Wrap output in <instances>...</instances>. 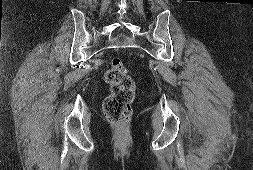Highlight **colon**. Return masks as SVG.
<instances>
[{
    "label": "colon",
    "mask_w": 253,
    "mask_h": 170,
    "mask_svg": "<svg viewBox=\"0 0 253 170\" xmlns=\"http://www.w3.org/2000/svg\"><path fill=\"white\" fill-rule=\"evenodd\" d=\"M105 81L110 87V95L104 101V113L107 120L115 126L126 125L132 113L135 96V83L119 58L110 61L105 73Z\"/></svg>",
    "instance_id": "obj_1"
}]
</instances>
